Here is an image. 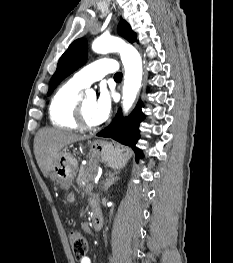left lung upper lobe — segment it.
Returning <instances> with one entry per match:
<instances>
[{"instance_id": "obj_1", "label": "left lung upper lobe", "mask_w": 233, "mask_h": 263, "mask_svg": "<svg viewBox=\"0 0 233 263\" xmlns=\"http://www.w3.org/2000/svg\"><path fill=\"white\" fill-rule=\"evenodd\" d=\"M118 33L129 42L136 41V34L131 30L126 21H121L118 25ZM87 60V41L83 38L75 40L61 56L56 72L49 83L47 95H50L56 86L69 74L82 66Z\"/></svg>"}]
</instances>
